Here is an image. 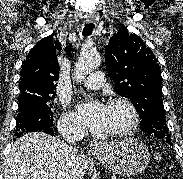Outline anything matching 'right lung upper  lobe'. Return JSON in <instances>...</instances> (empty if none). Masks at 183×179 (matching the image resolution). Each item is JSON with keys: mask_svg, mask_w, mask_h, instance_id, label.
Returning <instances> with one entry per match:
<instances>
[{"mask_svg": "<svg viewBox=\"0 0 183 179\" xmlns=\"http://www.w3.org/2000/svg\"><path fill=\"white\" fill-rule=\"evenodd\" d=\"M56 50H61V43L53 41L52 36L43 38L30 50L22 65L19 100L55 94L60 70ZM65 52L71 55V44Z\"/></svg>", "mask_w": 183, "mask_h": 179, "instance_id": "right-lung-upper-lobe-1", "label": "right lung upper lobe"}]
</instances>
